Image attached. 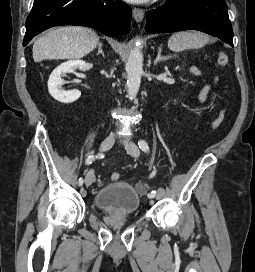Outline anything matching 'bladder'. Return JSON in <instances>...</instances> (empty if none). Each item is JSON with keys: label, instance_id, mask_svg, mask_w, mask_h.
Returning <instances> with one entry per match:
<instances>
[{"label": "bladder", "instance_id": "1", "mask_svg": "<svg viewBox=\"0 0 255 272\" xmlns=\"http://www.w3.org/2000/svg\"><path fill=\"white\" fill-rule=\"evenodd\" d=\"M93 202L108 214H134L140 207L141 193L128 182H112L95 193Z\"/></svg>", "mask_w": 255, "mask_h": 272}]
</instances>
